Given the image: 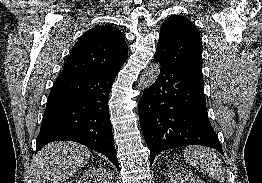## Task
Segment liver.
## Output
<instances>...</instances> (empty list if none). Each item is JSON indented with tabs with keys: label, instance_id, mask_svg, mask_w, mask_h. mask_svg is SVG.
I'll list each match as a JSON object with an SVG mask.
<instances>
[{
	"label": "liver",
	"instance_id": "liver-1",
	"mask_svg": "<svg viewBox=\"0 0 262 183\" xmlns=\"http://www.w3.org/2000/svg\"><path fill=\"white\" fill-rule=\"evenodd\" d=\"M90 160V150L75 142H53L38 152L32 162L34 183H60Z\"/></svg>",
	"mask_w": 262,
	"mask_h": 183
}]
</instances>
